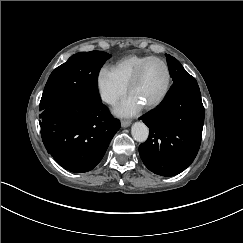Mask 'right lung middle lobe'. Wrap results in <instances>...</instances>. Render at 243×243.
<instances>
[{
  "mask_svg": "<svg viewBox=\"0 0 243 243\" xmlns=\"http://www.w3.org/2000/svg\"><path fill=\"white\" fill-rule=\"evenodd\" d=\"M110 57L102 51L80 52L71 56L49 76L40 101V111L69 96L100 100L97 78L100 68Z\"/></svg>",
  "mask_w": 243,
  "mask_h": 243,
  "instance_id": "obj_1",
  "label": "right lung middle lobe"
}]
</instances>
